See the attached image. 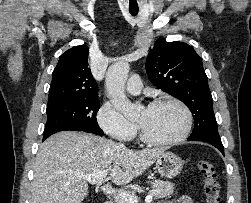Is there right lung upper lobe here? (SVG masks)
<instances>
[{"label": "right lung upper lobe", "instance_id": "obj_1", "mask_svg": "<svg viewBox=\"0 0 251 203\" xmlns=\"http://www.w3.org/2000/svg\"><path fill=\"white\" fill-rule=\"evenodd\" d=\"M89 48L75 46L59 58L53 71L47 107L81 99L98 98V87L88 68Z\"/></svg>", "mask_w": 251, "mask_h": 203}]
</instances>
